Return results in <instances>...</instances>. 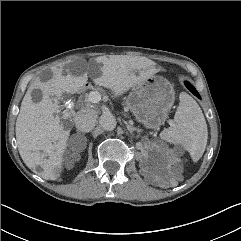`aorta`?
<instances>
[{
	"mask_svg": "<svg viewBox=\"0 0 241 241\" xmlns=\"http://www.w3.org/2000/svg\"><path fill=\"white\" fill-rule=\"evenodd\" d=\"M116 119L111 113H104L100 116L99 125L106 131H112L116 127Z\"/></svg>",
	"mask_w": 241,
	"mask_h": 241,
	"instance_id": "obj_1",
	"label": "aorta"
}]
</instances>
